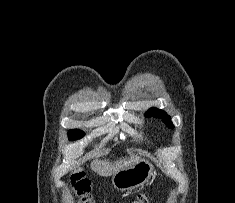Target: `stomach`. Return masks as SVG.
<instances>
[{
	"mask_svg": "<svg viewBox=\"0 0 235 203\" xmlns=\"http://www.w3.org/2000/svg\"><path fill=\"white\" fill-rule=\"evenodd\" d=\"M153 166L145 159H139L134 165L125 167L112 176L113 186L121 191L142 186L151 178Z\"/></svg>",
	"mask_w": 235,
	"mask_h": 203,
	"instance_id": "obj_1",
	"label": "stomach"
}]
</instances>
